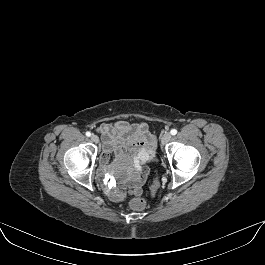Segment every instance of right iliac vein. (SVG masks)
Instances as JSON below:
<instances>
[{
	"mask_svg": "<svg viewBox=\"0 0 265 265\" xmlns=\"http://www.w3.org/2000/svg\"><path fill=\"white\" fill-rule=\"evenodd\" d=\"M91 140H92L94 143H98V142H99V137H98L97 135L93 134V135L91 136Z\"/></svg>",
	"mask_w": 265,
	"mask_h": 265,
	"instance_id": "1",
	"label": "right iliac vein"
}]
</instances>
